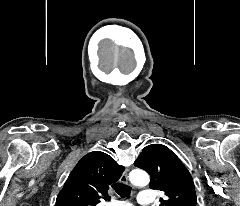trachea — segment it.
I'll use <instances>...</instances> for the list:
<instances>
[{
  "label": "trachea",
  "mask_w": 240,
  "mask_h": 206,
  "mask_svg": "<svg viewBox=\"0 0 240 206\" xmlns=\"http://www.w3.org/2000/svg\"><path fill=\"white\" fill-rule=\"evenodd\" d=\"M112 188L116 191L118 195L122 198L128 197L130 195L131 187L123 183H115Z\"/></svg>",
  "instance_id": "3493384b"
}]
</instances>
